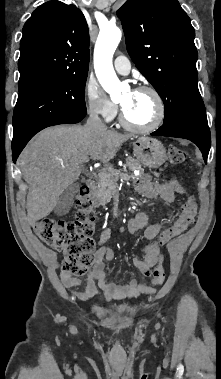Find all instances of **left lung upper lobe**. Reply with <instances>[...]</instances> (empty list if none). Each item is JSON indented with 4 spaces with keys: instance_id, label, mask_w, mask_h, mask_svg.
<instances>
[{
    "instance_id": "obj_1",
    "label": "left lung upper lobe",
    "mask_w": 221,
    "mask_h": 379,
    "mask_svg": "<svg viewBox=\"0 0 221 379\" xmlns=\"http://www.w3.org/2000/svg\"><path fill=\"white\" fill-rule=\"evenodd\" d=\"M127 51L175 117L207 121L197 85V49L190 18L177 0H127L117 11Z\"/></svg>"
}]
</instances>
